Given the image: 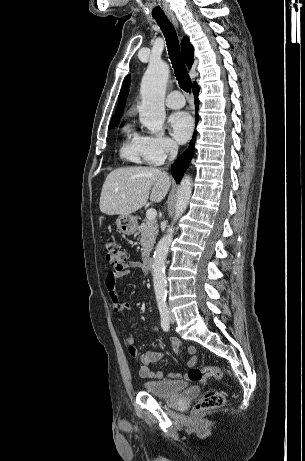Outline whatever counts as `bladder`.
I'll use <instances>...</instances> for the list:
<instances>
[{
    "label": "bladder",
    "instance_id": "bladder-1",
    "mask_svg": "<svg viewBox=\"0 0 305 461\" xmlns=\"http://www.w3.org/2000/svg\"><path fill=\"white\" fill-rule=\"evenodd\" d=\"M144 391L162 398H173L186 391L189 384L181 380H144L142 382Z\"/></svg>",
    "mask_w": 305,
    "mask_h": 461
}]
</instances>
